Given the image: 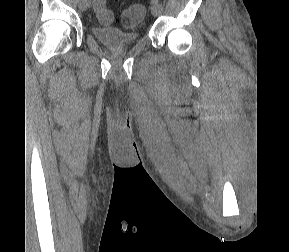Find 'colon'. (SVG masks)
I'll use <instances>...</instances> for the list:
<instances>
[{
    "label": "colon",
    "mask_w": 289,
    "mask_h": 252,
    "mask_svg": "<svg viewBox=\"0 0 289 252\" xmlns=\"http://www.w3.org/2000/svg\"><path fill=\"white\" fill-rule=\"evenodd\" d=\"M93 8L100 22L110 24L116 21L125 28H132L138 25L145 14L143 6L134 4L125 9L119 18H115L113 13L106 7V0H94Z\"/></svg>",
    "instance_id": "5ec220e1"
}]
</instances>
